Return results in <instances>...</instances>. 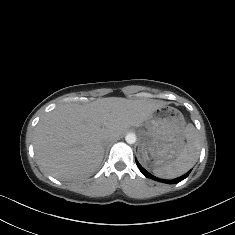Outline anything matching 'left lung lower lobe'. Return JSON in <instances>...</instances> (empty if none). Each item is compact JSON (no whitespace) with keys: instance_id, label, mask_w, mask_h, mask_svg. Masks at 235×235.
Returning a JSON list of instances; mask_svg holds the SVG:
<instances>
[{"instance_id":"1","label":"left lung lower lobe","mask_w":235,"mask_h":235,"mask_svg":"<svg viewBox=\"0 0 235 235\" xmlns=\"http://www.w3.org/2000/svg\"><path fill=\"white\" fill-rule=\"evenodd\" d=\"M138 168L140 169V171L142 172V174H144L147 178H153L159 182H164V183H169V184H173V183H178L182 180H184L191 172V170L189 172H187L186 174H184L183 176L174 179V180H162V179H158L156 177H154L153 175H151L149 172H147L139 163L138 161H136Z\"/></svg>"}]
</instances>
